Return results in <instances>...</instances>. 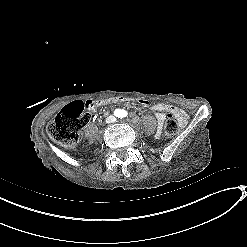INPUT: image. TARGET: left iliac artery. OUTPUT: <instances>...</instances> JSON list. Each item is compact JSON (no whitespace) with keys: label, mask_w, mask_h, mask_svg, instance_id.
I'll return each instance as SVG.
<instances>
[{"label":"left iliac artery","mask_w":247,"mask_h":247,"mask_svg":"<svg viewBox=\"0 0 247 247\" xmlns=\"http://www.w3.org/2000/svg\"><path fill=\"white\" fill-rule=\"evenodd\" d=\"M127 115H128L127 111L122 110V112H121V118H124V117H126Z\"/></svg>","instance_id":"44dca946"}]
</instances>
